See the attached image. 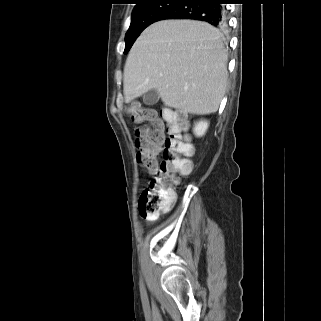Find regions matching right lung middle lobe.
<instances>
[{
	"label": "right lung middle lobe",
	"mask_w": 321,
	"mask_h": 321,
	"mask_svg": "<svg viewBox=\"0 0 321 321\" xmlns=\"http://www.w3.org/2000/svg\"><path fill=\"white\" fill-rule=\"evenodd\" d=\"M178 0H152L135 6L132 12L130 27L125 35L126 54L140 33L150 24L158 21L159 16L177 4Z\"/></svg>",
	"instance_id": "right-lung-middle-lobe-1"
}]
</instances>
